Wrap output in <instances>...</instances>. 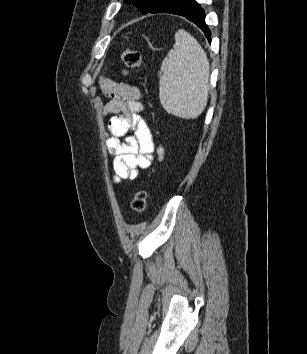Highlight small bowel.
<instances>
[{
	"mask_svg": "<svg viewBox=\"0 0 307 354\" xmlns=\"http://www.w3.org/2000/svg\"><path fill=\"white\" fill-rule=\"evenodd\" d=\"M105 86L113 97L103 107L102 114L112 115L108 121L107 151L114 177L117 182L135 179L139 169L151 165L155 151L150 129L140 115L142 93L136 86L123 82H108ZM156 151L161 158L163 149L159 147Z\"/></svg>",
	"mask_w": 307,
	"mask_h": 354,
	"instance_id": "1",
	"label": "small bowel"
}]
</instances>
